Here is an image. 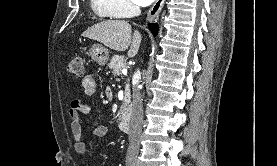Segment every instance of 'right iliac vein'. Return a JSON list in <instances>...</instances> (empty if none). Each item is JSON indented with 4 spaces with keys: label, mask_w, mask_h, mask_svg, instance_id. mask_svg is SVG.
<instances>
[{
    "label": "right iliac vein",
    "mask_w": 277,
    "mask_h": 166,
    "mask_svg": "<svg viewBox=\"0 0 277 166\" xmlns=\"http://www.w3.org/2000/svg\"><path fill=\"white\" fill-rule=\"evenodd\" d=\"M127 166H136V163L135 162H128Z\"/></svg>",
    "instance_id": "1"
}]
</instances>
